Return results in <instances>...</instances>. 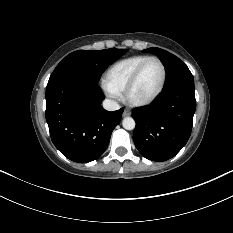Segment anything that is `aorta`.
<instances>
[{
    "label": "aorta",
    "mask_w": 233,
    "mask_h": 233,
    "mask_svg": "<svg viewBox=\"0 0 233 233\" xmlns=\"http://www.w3.org/2000/svg\"><path fill=\"white\" fill-rule=\"evenodd\" d=\"M122 126L126 130H133L135 128V120L132 117H125L122 121Z\"/></svg>",
    "instance_id": "762f6f07"
}]
</instances>
